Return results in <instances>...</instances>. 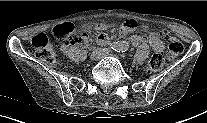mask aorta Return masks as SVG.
I'll use <instances>...</instances> for the list:
<instances>
[{
  "label": "aorta",
  "instance_id": "obj_1",
  "mask_svg": "<svg viewBox=\"0 0 207 123\" xmlns=\"http://www.w3.org/2000/svg\"><path fill=\"white\" fill-rule=\"evenodd\" d=\"M116 49L119 50V51H124L127 49V43L124 42V41H121L119 42L117 45H116Z\"/></svg>",
  "mask_w": 207,
  "mask_h": 123
}]
</instances>
